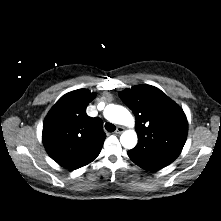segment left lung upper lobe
Instances as JSON below:
<instances>
[{"label":"left lung upper lobe","mask_w":221,"mask_h":221,"mask_svg":"<svg viewBox=\"0 0 221 221\" xmlns=\"http://www.w3.org/2000/svg\"><path fill=\"white\" fill-rule=\"evenodd\" d=\"M136 117L138 143L132 154L177 158L186 142L188 122L183 110L161 90L138 85L120 93Z\"/></svg>","instance_id":"left-lung-upper-lobe-1"}]
</instances>
